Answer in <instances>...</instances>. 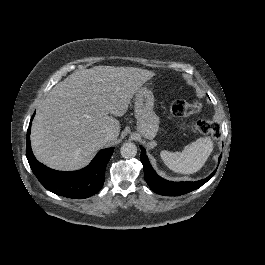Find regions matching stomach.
Listing matches in <instances>:
<instances>
[{
  "label": "stomach",
  "instance_id": "1",
  "mask_svg": "<svg viewBox=\"0 0 265 265\" xmlns=\"http://www.w3.org/2000/svg\"><path fill=\"white\" fill-rule=\"evenodd\" d=\"M135 118L137 119V131L142 137L153 139L159 130V117L155 114L154 95L146 87H140L135 94Z\"/></svg>",
  "mask_w": 265,
  "mask_h": 265
}]
</instances>
